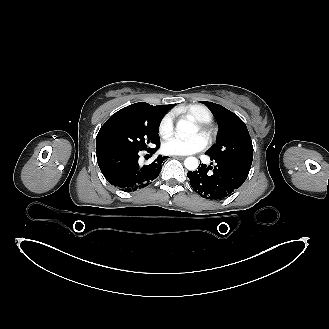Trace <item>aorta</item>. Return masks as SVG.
Here are the masks:
<instances>
[{"label":"aorta","mask_w":329,"mask_h":329,"mask_svg":"<svg viewBox=\"0 0 329 329\" xmlns=\"http://www.w3.org/2000/svg\"><path fill=\"white\" fill-rule=\"evenodd\" d=\"M177 134L181 137L195 134L198 129L197 126L187 120H179L176 125ZM185 167L189 171H194L198 168L199 162L195 157H188L184 161Z\"/></svg>","instance_id":"1"}]
</instances>
